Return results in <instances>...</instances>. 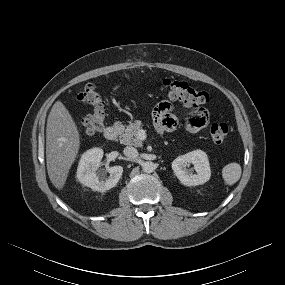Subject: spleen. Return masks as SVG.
Here are the masks:
<instances>
[{
  "mask_svg": "<svg viewBox=\"0 0 285 285\" xmlns=\"http://www.w3.org/2000/svg\"><path fill=\"white\" fill-rule=\"evenodd\" d=\"M241 166L238 163H230L224 166L222 177L226 185L235 184L241 177Z\"/></svg>",
  "mask_w": 285,
  "mask_h": 285,
  "instance_id": "1",
  "label": "spleen"
}]
</instances>
